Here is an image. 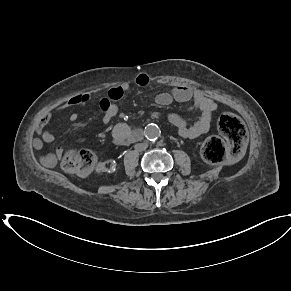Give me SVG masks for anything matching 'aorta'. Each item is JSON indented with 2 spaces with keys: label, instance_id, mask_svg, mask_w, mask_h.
<instances>
[{
  "label": "aorta",
  "instance_id": "1",
  "mask_svg": "<svg viewBox=\"0 0 291 291\" xmlns=\"http://www.w3.org/2000/svg\"><path fill=\"white\" fill-rule=\"evenodd\" d=\"M144 133L146 138L152 141L160 136L161 131L158 125L151 123L145 127Z\"/></svg>",
  "mask_w": 291,
  "mask_h": 291
}]
</instances>
